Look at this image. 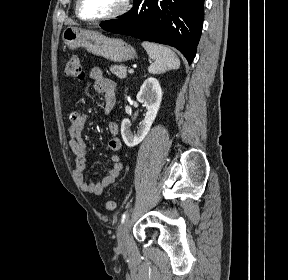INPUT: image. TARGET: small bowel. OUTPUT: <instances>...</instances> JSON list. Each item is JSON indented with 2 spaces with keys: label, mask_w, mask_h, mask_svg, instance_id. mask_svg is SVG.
I'll return each instance as SVG.
<instances>
[{
  "label": "small bowel",
  "mask_w": 288,
  "mask_h": 280,
  "mask_svg": "<svg viewBox=\"0 0 288 280\" xmlns=\"http://www.w3.org/2000/svg\"><path fill=\"white\" fill-rule=\"evenodd\" d=\"M90 79L94 82L95 90L105 97V112L110 114L116 101L117 85L114 81L106 78L102 70L93 67L89 72ZM88 122V115L80 110H73L69 115V125L66 129L69 136V148L75 157L74 177L79 188L86 193L100 195L120 176L123 170V163L119 156L122 143L118 137L119 126L116 122L109 120L107 123L108 132L111 138L108 147L112 152V167L106 175L97 183L87 182L84 178V171L87 166L88 147L82 138V131Z\"/></svg>",
  "instance_id": "1"
}]
</instances>
